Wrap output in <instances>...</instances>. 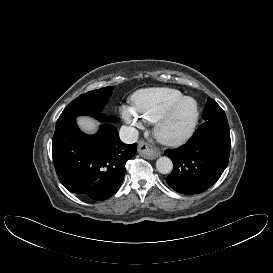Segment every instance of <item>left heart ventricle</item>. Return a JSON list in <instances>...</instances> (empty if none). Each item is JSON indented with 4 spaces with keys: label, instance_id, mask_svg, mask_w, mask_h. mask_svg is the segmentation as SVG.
<instances>
[{
    "label": "left heart ventricle",
    "instance_id": "b2bd125f",
    "mask_svg": "<svg viewBox=\"0 0 273 273\" xmlns=\"http://www.w3.org/2000/svg\"><path fill=\"white\" fill-rule=\"evenodd\" d=\"M195 114V106L191 101L182 104L166 122L163 133L173 137L184 132L190 125Z\"/></svg>",
    "mask_w": 273,
    "mask_h": 273
}]
</instances>
